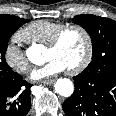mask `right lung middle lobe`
I'll list each match as a JSON object with an SVG mask.
<instances>
[{
	"label": "right lung middle lobe",
	"instance_id": "dd1d6c3e",
	"mask_svg": "<svg viewBox=\"0 0 116 116\" xmlns=\"http://www.w3.org/2000/svg\"><path fill=\"white\" fill-rule=\"evenodd\" d=\"M26 22L28 20L23 18L9 19L0 16V83L10 82L17 76L6 63L5 52L12 34Z\"/></svg>",
	"mask_w": 116,
	"mask_h": 116
}]
</instances>
